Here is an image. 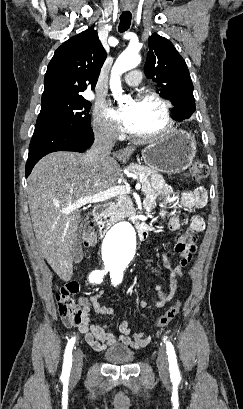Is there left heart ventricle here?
<instances>
[{
    "label": "left heart ventricle",
    "mask_w": 243,
    "mask_h": 409,
    "mask_svg": "<svg viewBox=\"0 0 243 409\" xmlns=\"http://www.w3.org/2000/svg\"><path fill=\"white\" fill-rule=\"evenodd\" d=\"M126 111L132 115L130 132L133 134L153 133L164 125L162 107L154 100L132 101Z\"/></svg>",
    "instance_id": "1"
}]
</instances>
